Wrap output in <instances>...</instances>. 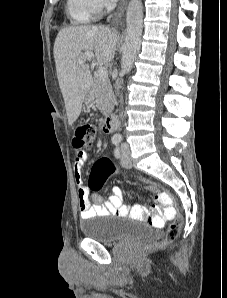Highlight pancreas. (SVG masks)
I'll use <instances>...</instances> for the list:
<instances>
[{
  "label": "pancreas",
  "instance_id": "obj_1",
  "mask_svg": "<svg viewBox=\"0 0 227 298\" xmlns=\"http://www.w3.org/2000/svg\"><path fill=\"white\" fill-rule=\"evenodd\" d=\"M92 94L98 109L103 115L112 112L116 104V97L108 78L105 80L95 78L92 85Z\"/></svg>",
  "mask_w": 227,
  "mask_h": 298
}]
</instances>
